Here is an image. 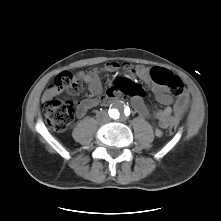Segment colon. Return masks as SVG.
I'll list each match as a JSON object with an SVG mask.
<instances>
[{
  "instance_id": "5ec220e1",
  "label": "colon",
  "mask_w": 221,
  "mask_h": 221,
  "mask_svg": "<svg viewBox=\"0 0 221 221\" xmlns=\"http://www.w3.org/2000/svg\"><path fill=\"white\" fill-rule=\"evenodd\" d=\"M151 73L155 82L166 86L174 94L180 95L183 92V84L181 80L171 72L157 68L152 70ZM64 90L71 93H76L79 90L78 82L69 72H62L55 77L53 84L50 86V93L43 101V108L47 122L51 129L56 132L65 131L72 122L75 113L74 107L70 102H63L56 98V96ZM123 92L131 97H143L146 94L145 89L134 82L128 83L123 88ZM175 130V126H171L170 132L172 134Z\"/></svg>"
}]
</instances>
